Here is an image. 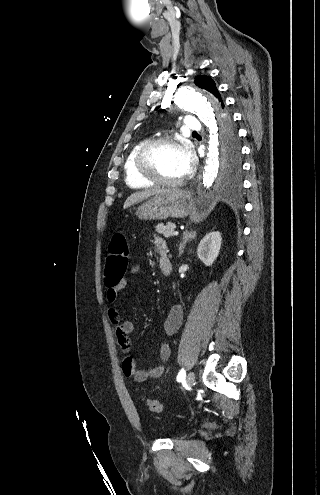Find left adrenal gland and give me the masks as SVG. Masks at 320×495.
I'll return each mask as SVG.
<instances>
[{"label":"left adrenal gland","mask_w":320,"mask_h":495,"mask_svg":"<svg viewBox=\"0 0 320 495\" xmlns=\"http://www.w3.org/2000/svg\"><path fill=\"white\" fill-rule=\"evenodd\" d=\"M195 237V231L194 232H184L183 233V239H182V242L180 243V246H179V256L182 255L183 253V250L186 246V244L191 241L193 238Z\"/></svg>","instance_id":"1"}]
</instances>
